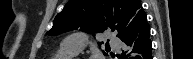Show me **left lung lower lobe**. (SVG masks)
<instances>
[{
	"instance_id": "left-lung-lower-lobe-1",
	"label": "left lung lower lobe",
	"mask_w": 193,
	"mask_h": 59,
	"mask_svg": "<svg viewBox=\"0 0 193 59\" xmlns=\"http://www.w3.org/2000/svg\"><path fill=\"white\" fill-rule=\"evenodd\" d=\"M120 39L127 46L120 59H152L150 27L144 11L133 18Z\"/></svg>"
}]
</instances>
